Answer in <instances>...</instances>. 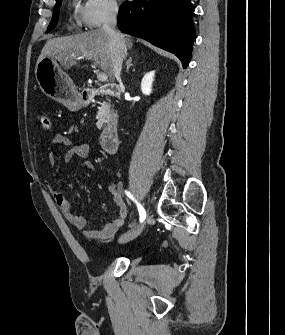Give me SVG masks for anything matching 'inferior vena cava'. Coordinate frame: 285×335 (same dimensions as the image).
Returning <instances> with one entry per match:
<instances>
[{
	"label": "inferior vena cava",
	"mask_w": 285,
	"mask_h": 335,
	"mask_svg": "<svg viewBox=\"0 0 285 335\" xmlns=\"http://www.w3.org/2000/svg\"><path fill=\"white\" fill-rule=\"evenodd\" d=\"M117 14V2H115V0H107L106 14L104 16L102 30L107 32L111 40L112 66L114 74H121L123 60H125L127 52L124 44V36L116 30Z\"/></svg>",
	"instance_id": "obj_1"
}]
</instances>
